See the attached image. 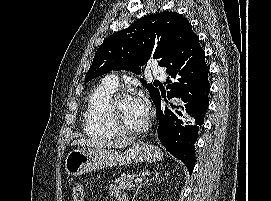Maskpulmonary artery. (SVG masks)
<instances>
[{
  "label": "pulmonary artery",
  "mask_w": 271,
  "mask_h": 201,
  "mask_svg": "<svg viewBox=\"0 0 271 201\" xmlns=\"http://www.w3.org/2000/svg\"><path fill=\"white\" fill-rule=\"evenodd\" d=\"M153 75L163 79L166 76L165 69L155 63L153 65ZM102 84L107 86V87L116 89L118 87V84H119L117 75L109 74V75L105 76L103 78Z\"/></svg>",
  "instance_id": "obj_1"
}]
</instances>
